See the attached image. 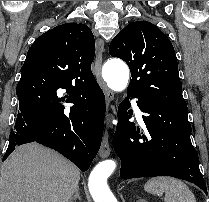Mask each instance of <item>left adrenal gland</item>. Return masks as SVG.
<instances>
[{
  "mask_svg": "<svg viewBox=\"0 0 209 202\" xmlns=\"http://www.w3.org/2000/svg\"><path fill=\"white\" fill-rule=\"evenodd\" d=\"M138 202H146L145 200H143V199H140V200H138Z\"/></svg>",
  "mask_w": 209,
  "mask_h": 202,
  "instance_id": "obj_1",
  "label": "left adrenal gland"
}]
</instances>
